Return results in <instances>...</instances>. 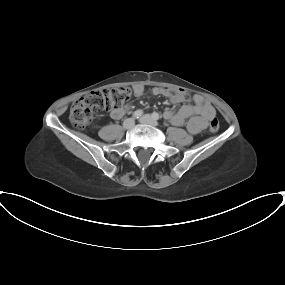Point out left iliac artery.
<instances>
[{
	"label": "left iliac artery",
	"instance_id": "44dca946",
	"mask_svg": "<svg viewBox=\"0 0 285 285\" xmlns=\"http://www.w3.org/2000/svg\"><path fill=\"white\" fill-rule=\"evenodd\" d=\"M152 117H153L155 120L160 119L159 114H158V113H156V112H154V113L152 114Z\"/></svg>",
	"mask_w": 285,
	"mask_h": 285
}]
</instances>
